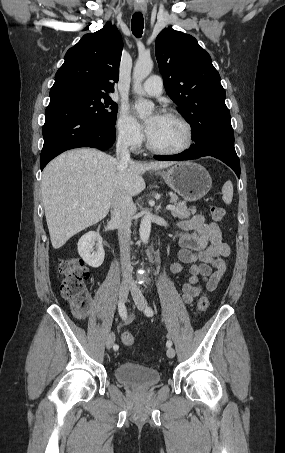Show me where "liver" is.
<instances>
[{
	"mask_svg": "<svg viewBox=\"0 0 285 453\" xmlns=\"http://www.w3.org/2000/svg\"><path fill=\"white\" fill-rule=\"evenodd\" d=\"M174 162L120 161L92 148L67 151L43 170L41 191L54 249L108 214L117 193L136 196L145 189L142 174Z\"/></svg>",
	"mask_w": 285,
	"mask_h": 453,
	"instance_id": "obj_1",
	"label": "liver"
}]
</instances>
